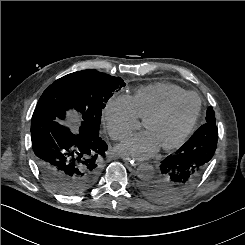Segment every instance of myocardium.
<instances>
[{"label":"myocardium","instance_id":"f54148a6","mask_svg":"<svg viewBox=\"0 0 245 245\" xmlns=\"http://www.w3.org/2000/svg\"><path fill=\"white\" fill-rule=\"evenodd\" d=\"M189 97H195L198 100V107H197L196 114L193 120L191 121V123L188 125V127L183 131V133L174 142L161 146V148L165 151L173 150V149L180 147L182 144H184V142L187 140L189 135L192 133L194 127L196 126L198 122V119L201 113L202 104H201V100L198 97V95H196L193 92H188L182 96L176 97L170 100L169 102H167L165 105H163L156 112H154L152 115H150L147 119L144 120V126L147 127L149 124L157 120H160L161 118L166 116L173 109L174 106H176L178 103L182 102L183 100Z\"/></svg>","mask_w":245,"mask_h":245}]
</instances>
